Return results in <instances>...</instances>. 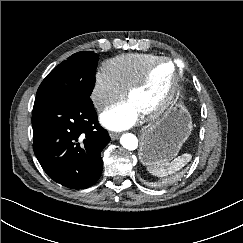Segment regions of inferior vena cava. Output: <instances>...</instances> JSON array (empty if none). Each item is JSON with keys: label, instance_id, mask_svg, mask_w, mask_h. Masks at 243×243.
<instances>
[{"label": "inferior vena cava", "instance_id": "602c4592", "mask_svg": "<svg viewBox=\"0 0 243 243\" xmlns=\"http://www.w3.org/2000/svg\"><path fill=\"white\" fill-rule=\"evenodd\" d=\"M106 104V102H104V101H100V102H98L97 104H96V106L97 107H102L103 105H105Z\"/></svg>", "mask_w": 243, "mask_h": 243}]
</instances>
